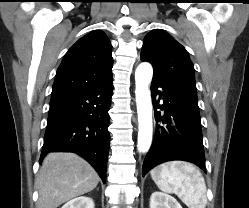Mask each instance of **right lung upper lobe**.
I'll return each instance as SVG.
<instances>
[{
	"instance_id": "cb5924a9",
	"label": "right lung upper lobe",
	"mask_w": 249,
	"mask_h": 208,
	"mask_svg": "<svg viewBox=\"0 0 249 208\" xmlns=\"http://www.w3.org/2000/svg\"><path fill=\"white\" fill-rule=\"evenodd\" d=\"M111 43L100 30L79 39L66 53L53 84L52 97L96 87L112 78Z\"/></svg>"
}]
</instances>
